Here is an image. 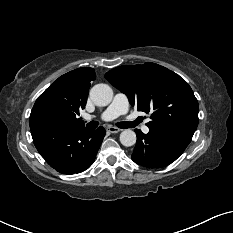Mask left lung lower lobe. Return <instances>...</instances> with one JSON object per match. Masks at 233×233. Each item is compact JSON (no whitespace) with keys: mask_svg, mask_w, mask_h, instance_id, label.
I'll use <instances>...</instances> for the list:
<instances>
[{"mask_svg":"<svg viewBox=\"0 0 233 233\" xmlns=\"http://www.w3.org/2000/svg\"><path fill=\"white\" fill-rule=\"evenodd\" d=\"M137 142L131 156L132 160L147 168H161L174 162L186 149L192 134L175 131L150 129L144 135L135 130Z\"/></svg>","mask_w":233,"mask_h":233,"instance_id":"left-lung-lower-lobe-1","label":"left lung lower lobe"}]
</instances>
